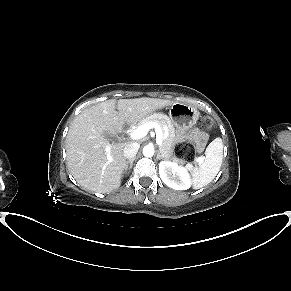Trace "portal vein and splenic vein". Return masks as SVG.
<instances>
[{
    "label": "portal vein and splenic vein",
    "mask_w": 291,
    "mask_h": 291,
    "mask_svg": "<svg viewBox=\"0 0 291 291\" xmlns=\"http://www.w3.org/2000/svg\"><path fill=\"white\" fill-rule=\"evenodd\" d=\"M154 128L156 133V143L157 145H161L164 139L162 128L155 122H148L144 123L143 125L139 126L136 130L130 133V137L132 140H139L145 137L149 130ZM196 161L200 164L203 162L201 157H197Z\"/></svg>",
    "instance_id": "1"
}]
</instances>
